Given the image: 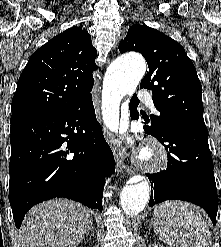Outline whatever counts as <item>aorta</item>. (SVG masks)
<instances>
[{
    "instance_id": "1",
    "label": "aorta",
    "mask_w": 221,
    "mask_h": 247,
    "mask_svg": "<svg viewBox=\"0 0 221 247\" xmlns=\"http://www.w3.org/2000/svg\"><path fill=\"white\" fill-rule=\"evenodd\" d=\"M146 71L144 58L139 54L122 56L113 61L105 74L102 91V113L106 125L117 131L119 107L126 94H132ZM149 182L142 180L126 185L120 197V204L127 215L139 214L149 200Z\"/></svg>"
}]
</instances>
